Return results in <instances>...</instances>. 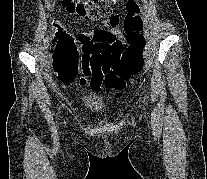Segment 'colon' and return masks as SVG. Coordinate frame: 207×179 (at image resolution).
<instances>
[{"instance_id":"colon-1","label":"colon","mask_w":207,"mask_h":179,"mask_svg":"<svg viewBox=\"0 0 207 179\" xmlns=\"http://www.w3.org/2000/svg\"><path fill=\"white\" fill-rule=\"evenodd\" d=\"M116 0H61L69 14L83 18L109 16ZM139 8L130 1L124 19L126 46L116 36L104 29L79 40L80 54L75 39L58 26L53 49V66L62 81H73L81 73L90 76L94 84L104 85L121 92L126 82L138 74L144 64L143 48L146 38L143 34V20Z\"/></svg>"}]
</instances>
